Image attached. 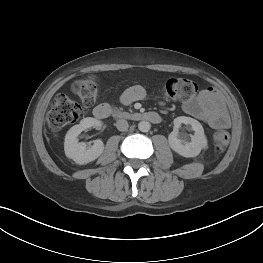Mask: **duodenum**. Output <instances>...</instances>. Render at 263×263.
Segmentation results:
<instances>
[{
  "label": "duodenum",
  "mask_w": 263,
  "mask_h": 263,
  "mask_svg": "<svg viewBox=\"0 0 263 263\" xmlns=\"http://www.w3.org/2000/svg\"><path fill=\"white\" fill-rule=\"evenodd\" d=\"M93 115L97 119H106L110 116H115L119 119H128L134 121H149L151 123H159L161 121V116L153 111L150 112H136L127 113L122 111H114L108 105H98L93 110Z\"/></svg>",
  "instance_id": "1"
}]
</instances>
